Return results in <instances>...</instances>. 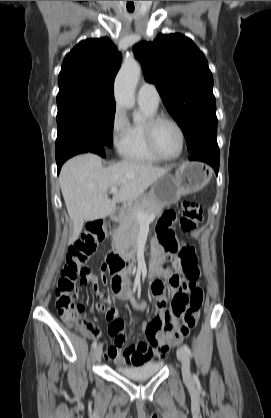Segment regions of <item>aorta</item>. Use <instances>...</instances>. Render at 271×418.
Listing matches in <instances>:
<instances>
[{"instance_id":"762f6f07","label":"aorta","mask_w":271,"mask_h":418,"mask_svg":"<svg viewBox=\"0 0 271 418\" xmlns=\"http://www.w3.org/2000/svg\"><path fill=\"white\" fill-rule=\"evenodd\" d=\"M141 74V66L134 59H127L115 79V100L118 106L132 108L135 104V88ZM137 118H135L136 120Z\"/></svg>"}]
</instances>
